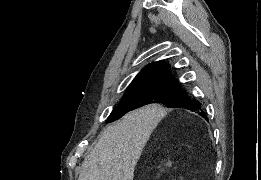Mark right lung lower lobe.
<instances>
[{
	"instance_id": "98d812e1",
	"label": "right lung lower lobe",
	"mask_w": 261,
	"mask_h": 180,
	"mask_svg": "<svg viewBox=\"0 0 261 180\" xmlns=\"http://www.w3.org/2000/svg\"><path fill=\"white\" fill-rule=\"evenodd\" d=\"M176 107H181V108H185V109H188V110H191V111H195L199 115L205 116V113L201 108V104L198 101H193V100H190L189 98H187L184 101L176 104L174 106V108H176Z\"/></svg>"
}]
</instances>
